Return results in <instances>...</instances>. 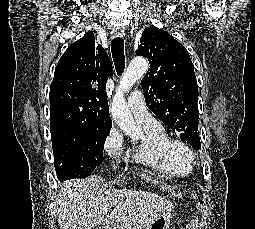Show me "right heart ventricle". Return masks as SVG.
<instances>
[{"mask_svg": "<svg viewBox=\"0 0 255 229\" xmlns=\"http://www.w3.org/2000/svg\"><path fill=\"white\" fill-rule=\"evenodd\" d=\"M142 127L145 136L133 147L132 158L135 162L170 176H182L191 171L192 167L173 163L159 151V143L168 137L161 124L157 127Z\"/></svg>", "mask_w": 255, "mask_h": 229, "instance_id": "right-heart-ventricle-1", "label": "right heart ventricle"}]
</instances>
